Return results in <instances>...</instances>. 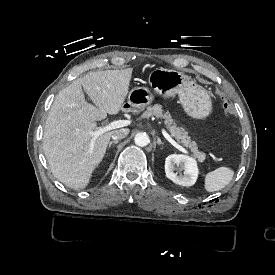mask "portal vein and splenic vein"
Instances as JSON below:
<instances>
[{
	"instance_id": "1",
	"label": "portal vein and splenic vein",
	"mask_w": 275,
	"mask_h": 275,
	"mask_svg": "<svg viewBox=\"0 0 275 275\" xmlns=\"http://www.w3.org/2000/svg\"><path fill=\"white\" fill-rule=\"evenodd\" d=\"M128 125V122L127 121H122V120H119V121H113V122H110L108 125H106L105 127H101L95 131H91V132H86L84 133L85 136H90V137H94V138H97L98 136L106 133V132H109L113 129H117V128H120V127H123V126H126ZM164 133V136L165 138L175 147L177 148L179 151L185 153V154H190V152L185 149L183 146H181L179 143H177L168 133L166 132H163Z\"/></svg>"
}]
</instances>
